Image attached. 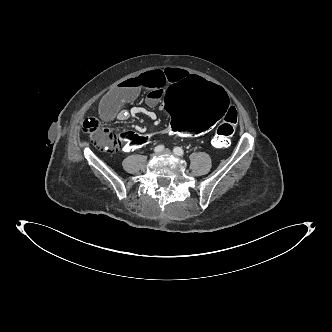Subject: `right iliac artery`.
I'll list each match as a JSON object with an SVG mask.
<instances>
[{"instance_id": "obj_1", "label": "right iliac artery", "mask_w": 332, "mask_h": 332, "mask_svg": "<svg viewBox=\"0 0 332 332\" xmlns=\"http://www.w3.org/2000/svg\"><path fill=\"white\" fill-rule=\"evenodd\" d=\"M164 149V146L163 145H158L154 148V151L155 152H161L162 150Z\"/></svg>"}]
</instances>
